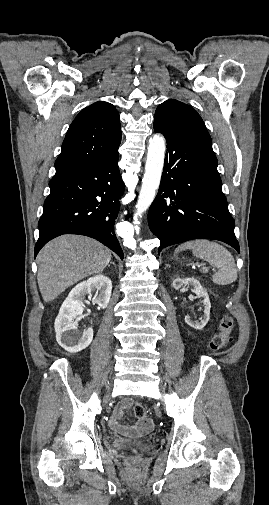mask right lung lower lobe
I'll return each instance as SVG.
<instances>
[{
  "instance_id": "98d812e1",
  "label": "right lung lower lobe",
  "mask_w": 269,
  "mask_h": 505,
  "mask_svg": "<svg viewBox=\"0 0 269 505\" xmlns=\"http://www.w3.org/2000/svg\"><path fill=\"white\" fill-rule=\"evenodd\" d=\"M50 194L39 220L35 257L51 239L63 234L92 237L124 258L113 232L118 199L124 193L118 167V150L112 154L56 174L49 182Z\"/></svg>"
}]
</instances>
